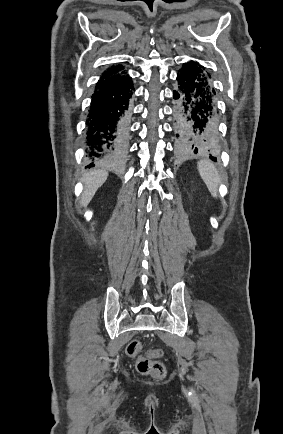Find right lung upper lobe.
<instances>
[{
	"mask_svg": "<svg viewBox=\"0 0 283 434\" xmlns=\"http://www.w3.org/2000/svg\"><path fill=\"white\" fill-rule=\"evenodd\" d=\"M124 73L122 66H111L107 69L102 78L97 82L95 90L103 89L117 85L127 79V76L122 75Z\"/></svg>",
	"mask_w": 283,
	"mask_h": 434,
	"instance_id": "1",
	"label": "right lung upper lobe"
}]
</instances>
